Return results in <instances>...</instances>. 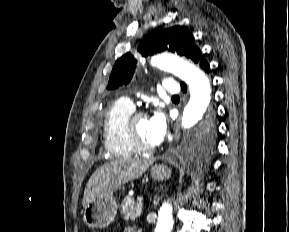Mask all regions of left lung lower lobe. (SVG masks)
I'll return each mask as SVG.
<instances>
[{"instance_id":"0a47b994","label":"left lung lower lobe","mask_w":289,"mask_h":232,"mask_svg":"<svg viewBox=\"0 0 289 232\" xmlns=\"http://www.w3.org/2000/svg\"><path fill=\"white\" fill-rule=\"evenodd\" d=\"M199 66L201 67L202 70H204L206 73H209L210 72V66L208 64V62L205 60V58L202 56L200 58V61H199ZM181 86H182V90L184 92H186V85L181 83ZM199 139L201 140V135H199Z\"/></svg>"}]
</instances>
